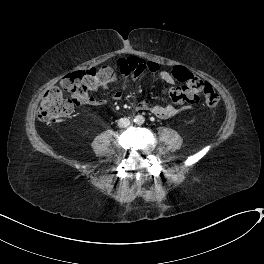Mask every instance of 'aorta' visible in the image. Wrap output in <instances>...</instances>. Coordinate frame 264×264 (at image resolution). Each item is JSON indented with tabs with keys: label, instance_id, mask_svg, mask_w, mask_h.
Wrapping results in <instances>:
<instances>
[{
	"label": "aorta",
	"instance_id": "1",
	"mask_svg": "<svg viewBox=\"0 0 264 264\" xmlns=\"http://www.w3.org/2000/svg\"><path fill=\"white\" fill-rule=\"evenodd\" d=\"M136 121L138 123H142L144 121V118L141 115L136 116Z\"/></svg>",
	"mask_w": 264,
	"mask_h": 264
}]
</instances>
